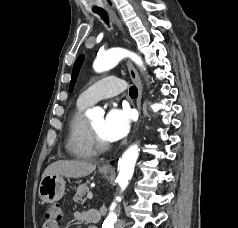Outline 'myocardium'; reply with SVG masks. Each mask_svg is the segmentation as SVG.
Segmentation results:
<instances>
[{
  "label": "myocardium",
  "instance_id": "obj_1",
  "mask_svg": "<svg viewBox=\"0 0 238 228\" xmlns=\"http://www.w3.org/2000/svg\"><path fill=\"white\" fill-rule=\"evenodd\" d=\"M88 128L90 132V138L92 145L96 152L104 153L110 149V144L108 141L103 140L93 129L91 124L88 123Z\"/></svg>",
  "mask_w": 238,
  "mask_h": 228
}]
</instances>
